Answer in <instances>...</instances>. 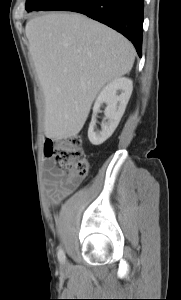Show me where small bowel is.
Wrapping results in <instances>:
<instances>
[{
  "instance_id": "1",
  "label": "small bowel",
  "mask_w": 181,
  "mask_h": 300,
  "mask_svg": "<svg viewBox=\"0 0 181 300\" xmlns=\"http://www.w3.org/2000/svg\"><path fill=\"white\" fill-rule=\"evenodd\" d=\"M46 173V192L55 203L71 194L81 182V179L72 178L65 170L53 164L48 166Z\"/></svg>"
}]
</instances>
